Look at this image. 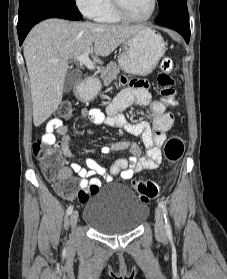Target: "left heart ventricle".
I'll use <instances>...</instances> for the list:
<instances>
[{
  "label": "left heart ventricle",
  "mask_w": 227,
  "mask_h": 279,
  "mask_svg": "<svg viewBox=\"0 0 227 279\" xmlns=\"http://www.w3.org/2000/svg\"><path fill=\"white\" fill-rule=\"evenodd\" d=\"M129 13L135 17L147 15L151 9V0H122Z\"/></svg>",
  "instance_id": "obj_1"
}]
</instances>
